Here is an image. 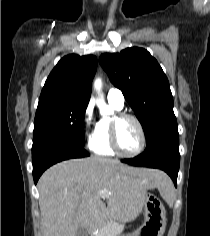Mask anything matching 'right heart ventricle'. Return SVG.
<instances>
[{"mask_svg": "<svg viewBox=\"0 0 210 236\" xmlns=\"http://www.w3.org/2000/svg\"><path fill=\"white\" fill-rule=\"evenodd\" d=\"M110 105L117 111L121 109L112 103ZM110 121V117H102L97 122L95 132L89 141V148L96 155L107 157L115 155L110 145Z\"/></svg>", "mask_w": 210, "mask_h": 236, "instance_id": "1", "label": "right heart ventricle"}]
</instances>
